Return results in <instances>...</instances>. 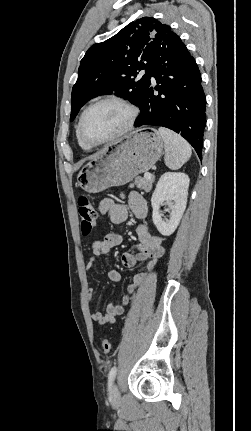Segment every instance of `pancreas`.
I'll return each instance as SVG.
<instances>
[{
    "label": "pancreas",
    "instance_id": "pancreas-1",
    "mask_svg": "<svg viewBox=\"0 0 251 431\" xmlns=\"http://www.w3.org/2000/svg\"><path fill=\"white\" fill-rule=\"evenodd\" d=\"M154 183V178L146 179L145 177L142 178L140 176H137L135 178L134 183L130 184V188H133L134 185H136L138 188L144 190L145 192H150L152 189Z\"/></svg>",
    "mask_w": 251,
    "mask_h": 431
}]
</instances>
